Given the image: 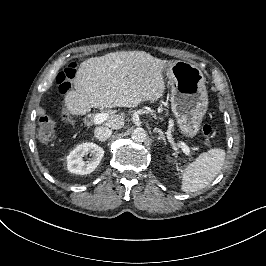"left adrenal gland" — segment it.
<instances>
[{
  "instance_id": "left-adrenal-gland-1",
  "label": "left adrenal gland",
  "mask_w": 266,
  "mask_h": 266,
  "mask_svg": "<svg viewBox=\"0 0 266 266\" xmlns=\"http://www.w3.org/2000/svg\"><path fill=\"white\" fill-rule=\"evenodd\" d=\"M154 132H157L159 134V137H158L159 140L162 139L166 143L165 135H164V133L162 132L161 129L154 128Z\"/></svg>"
}]
</instances>
